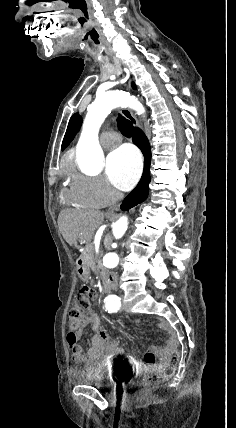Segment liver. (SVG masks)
<instances>
[{"label": "liver", "mask_w": 236, "mask_h": 428, "mask_svg": "<svg viewBox=\"0 0 236 428\" xmlns=\"http://www.w3.org/2000/svg\"><path fill=\"white\" fill-rule=\"evenodd\" d=\"M104 222V214L100 212H60L58 216L59 230L70 246L77 242L90 240L94 230Z\"/></svg>", "instance_id": "1"}]
</instances>
